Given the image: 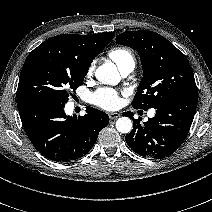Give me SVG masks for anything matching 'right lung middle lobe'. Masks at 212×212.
Returning a JSON list of instances; mask_svg holds the SVG:
<instances>
[{"mask_svg":"<svg viewBox=\"0 0 212 212\" xmlns=\"http://www.w3.org/2000/svg\"><path fill=\"white\" fill-rule=\"evenodd\" d=\"M87 71L88 69L45 58L26 60L18 84L17 98H44L65 104L69 90L75 91L82 84Z\"/></svg>","mask_w":212,"mask_h":212,"instance_id":"dd1d6c3e","label":"right lung middle lobe"}]
</instances>
